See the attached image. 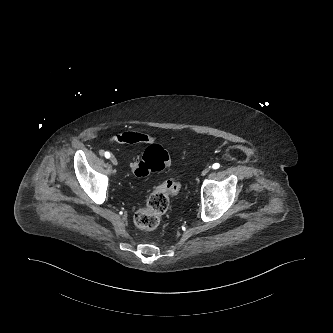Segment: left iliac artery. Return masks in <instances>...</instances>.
I'll return each instance as SVG.
<instances>
[{"label":"left iliac artery","mask_w":333,"mask_h":333,"mask_svg":"<svg viewBox=\"0 0 333 333\" xmlns=\"http://www.w3.org/2000/svg\"><path fill=\"white\" fill-rule=\"evenodd\" d=\"M220 167V164L219 163H214L213 165H212V168L213 169H218Z\"/></svg>","instance_id":"left-iliac-artery-1"}]
</instances>
